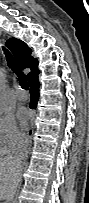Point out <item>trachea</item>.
I'll return each mask as SVG.
<instances>
[{
	"instance_id": "obj_1",
	"label": "trachea",
	"mask_w": 89,
	"mask_h": 203,
	"mask_svg": "<svg viewBox=\"0 0 89 203\" xmlns=\"http://www.w3.org/2000/svg\"><path fill=\"white\" fill-rule=\"evenodd\" d=\"M3 51H4V54H5V56H6L8 66L12 69V71H13V72L18 76V78H19L20 86H21L23 89H28L29 86H28L27 79H26L25 75L22 73L21 68H20V67L18 66V64L16 63L14 57L12 56V54H11L5 47H3Z\"/></svg>"
}]
</instances>
